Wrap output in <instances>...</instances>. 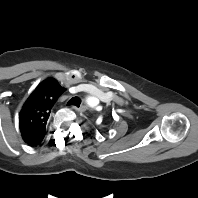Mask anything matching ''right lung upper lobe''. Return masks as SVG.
<instances>
[{"instance_id": "cb5924a9", "label": "right lung upper lobe", "mask_w": 198, "mask_h": 198, "mask_svg": "<svg viewBox=\"0 0 198 198\" xmlns=\"http://www.w3.org/2000/svg\"><path fill=\"white\" fill-rule=\"evenodd\" d=\"M65 90L56 79L49 78L29 96L19 117L20 131L27 144L37 145L43 140L50 112Z\"/></svg>"}]
</instances>
